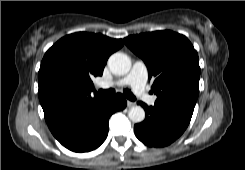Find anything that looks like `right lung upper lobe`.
Returning <instances> with one entry per match:
<instances>
[{
  "instance_id": "cb5924a9",
  "label": "right lung upper lobe",
  "mask_w": 245,
  "mask_h": 170,
  "mask_svg": "<svg viewBox=\"0 0 245 170\" xmlns=\"http://www.w3.org/2000/svg\"><path fill=\"white\" fill-rule=\"evenodd\" d=\"M122 39L78 32L56 42L44 55L38 73L39 100L52 134L103 98L93 92L92 78L101 76L109 56Z\"/></svg>"
}]
</instances>
